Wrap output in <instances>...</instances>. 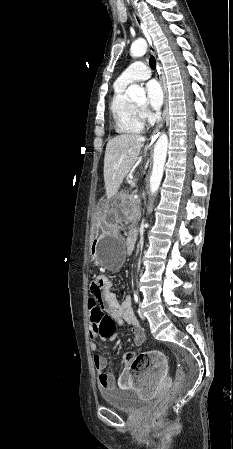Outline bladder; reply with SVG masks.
I'll return each mask as SVG.
<instances>
[{
  "label": "bladder",
  "mask_w": 233,
  "mask_h": 449,
  "mask_svg": "<svg viewBox=\"0 0 233 449\" xmlns=\"http://www.w3.org/2000/svg\"><path fill=\"white\" fill-rule=\"evenodd\" d=\"M102 396L109 406L127 413L148 409L153 404V401L150 399L137 397L133 389H120L117 387L102 389Z\"/></svg>",
  "instance_id": "31cf9c89"
}]
</instances>
